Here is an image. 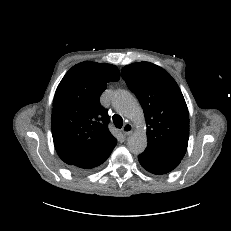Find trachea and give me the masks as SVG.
Returning a JSON list of instances; mask_svg holds the SVG:
<instances>
[{"label": "trachea", "instance_id": "3493384b", "mask_svg": "<svg viewBox=\"0 0 231 231\" xmlns=\"http://www.w3.org/2000/svg\"><path fill=\"white\" fill-rule=\"evenodd\" d=\"M113 122L117 128H122L123 126V119L121 116L115 114L113 115Z\"/></svg>", "mask_w": 231, "mask_h": 231}]
</instances>
